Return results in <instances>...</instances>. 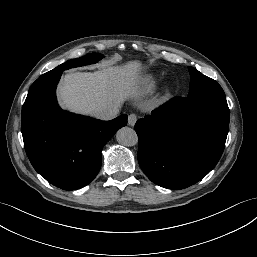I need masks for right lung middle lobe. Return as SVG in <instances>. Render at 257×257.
<instances>
[{
    "instance_id": "obj_1",
    "label": "right lung middle lobe",
    "mask_w": 257,
    "mask_h": 257,
    "mask_svg": "<svg viewBox=\"0 0 257 257\" xmlns=\"http://www.w3.org/2000/svg\"><path fill=\"white\" fill-rule=\"evenodd\" d=\"M104 56L100 53H91L89 55L83 56L78 59L69 60L58 67L54 68L53 70L47 72V74H54L59 71H64L66 69H70L72 67L82 66V65H88L91 63H95L98 60L102 59Z\"/></svg>"
}]
</instances>
